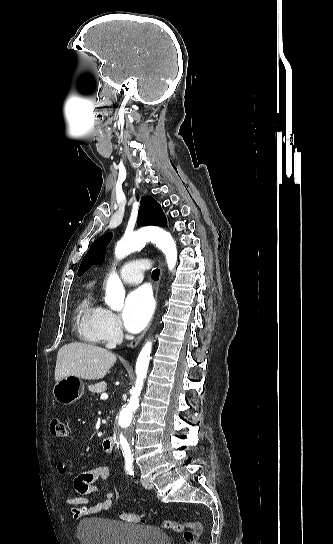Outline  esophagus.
Returning <instances> with one entry per match:
<instances>
[{
  "label": "esophagus",
  "mask_w": 333,
  "mask_h": 544,
  "mask_svg": "<svg viewBox=\"0 0 333 544\" xmlns=\"http://www.w3.org/2000/svg\"><path fill=\"white\" fill-rule=\"evenodd\" d=\"M160 273L162 275V267L160 266ZM158 290H159V282L157 283V286L155 288V300H156V303L158 301ZM151 322L149 323V325L146 327V329L136 338L134 339L130 344H129V348L130 349H134L139 343L140 341L142 340V338L144 337V335L146 334L149 326H150Z\"/></svg>",
  "instance_id": "esophagus-1"
}]
</instances>
